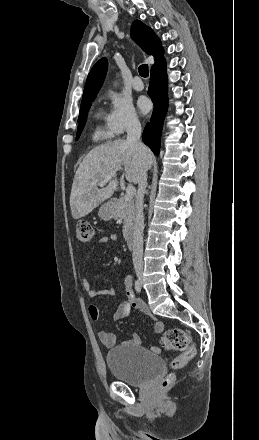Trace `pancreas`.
<instances>
[{"mask_svg":"<svg viewBox=\"0 0 259 440\" xmlns=\"http://www.w3.org/2000/svg\"><path fill=\"white\" fill-rule=\"evenodd\" d=\"M115 218L123 219V235L127 237L133 229L135 220V208L132 200L126 201L120 197L115 204Z\"/></svg>","mask_w":259,"mask_h":440,"instance_id":"obj_1","label":"pancreas"}]
</instances>
